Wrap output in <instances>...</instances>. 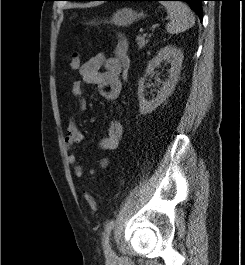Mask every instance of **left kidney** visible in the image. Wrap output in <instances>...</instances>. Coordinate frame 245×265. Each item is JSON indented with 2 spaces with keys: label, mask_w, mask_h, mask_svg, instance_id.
I'll return each instance as SVG.
<instances>
[{
  "label": "left kidney",
  "mask_w": 245,
  "mask_h": 265,
  "mask_svg": "<svg viewBox=\"0 0 245 265\" xmlns=\"http://www.w3.org/2000/svg\"><path fill=\"white\" fill-rule=\"evenodd\" d=\"M183 58L184 56L181 49H178L173 45H167L160 49L157 55L149 61L144 77L138 82L137 95L139 100V111L142 115L154 111L171 95L181 72ZM163 61H166L171 65L168 79L162 82V87L160 88V91H158L157 96L154 99L147 101L144 97L145 77L151 75L154 72V69Z\"/></svg>",
  "instance_id": "left-kidney-1"
}]
</instances>
